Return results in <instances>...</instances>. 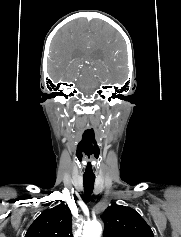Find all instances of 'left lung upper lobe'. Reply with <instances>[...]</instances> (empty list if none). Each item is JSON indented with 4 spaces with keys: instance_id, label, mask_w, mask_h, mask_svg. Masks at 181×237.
Masks as SVG:
<instances>
[{
    "instance_id": "1",
    "label": "left lung upper lobe",
    "mask_w": 181,
    "mask_h": 237,
    "mask_svg": "<svg viewBox=\"0 0 181 237\" xmlns=\"http://www.w3.org/2000/svg\"><path fill=\"white\" fill-rule=\"evenodd\" d=\"M104 237H154L146 221L132 208L113 203L101 215Z\"/></svg>"
}]
</instances>
